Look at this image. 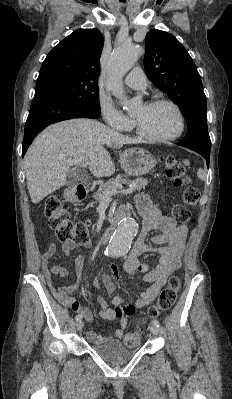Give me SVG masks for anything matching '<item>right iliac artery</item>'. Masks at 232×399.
Wrapping results in <instances>:
<instances>
[{"label": "right iliac artery", "instance_id": "1", "mask_svg": "<svg viewBox=\"0 0 232 399\" xmlns=\"http://www.w3.org/2000/svg\"><path fill=\"white\" fill-rule=\"evenodd\" d=\"M75 320H76V321H81V320H82V315H81V314H77V315L75 316Z\"/></svg>", "mask_w": 232, "mask_h": 399}]
</instances>
